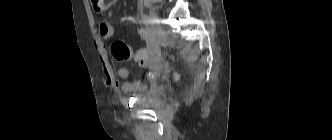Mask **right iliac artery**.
I'll use <instances>...</instances> for the list:
<instances>
[{"label":"right iliac artery","instance_id":"obj_1","mask_svg":"<svg viewBox=\"0 0 332 140\" xmlns=\"http://www.w3.org/2000/svg\"><path fill=\"white\" fill-rule=\"evenodd\" d=\"M141 22L144 25L148 26L151 23V20H150V18L147 15L142 14V16H141Z\"/></svg>","mask_w":332,"mask_h":140}]
</instances>
